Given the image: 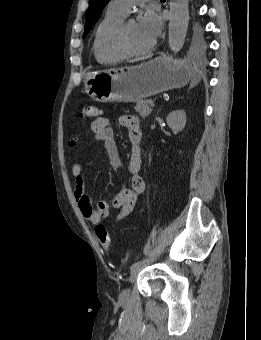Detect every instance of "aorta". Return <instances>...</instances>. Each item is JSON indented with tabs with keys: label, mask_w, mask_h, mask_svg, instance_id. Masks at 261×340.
Segmentation results:
<instances>
[{
	"label": "aorta",
	"mask_w": 261,
	"mask_h": 340,
	"mask_svg": "<svg viewBox=\"0 0 261 340\" xmlns=\"http://www.w3.org/2000/svg\"><path fill=\"white\" fill-rule=\"evenodd\" d=\"M189 22L188 0L170 2V22L168 43L170 49L177 53L184 45Z\"/></svg>",
	"instance_id": "762f6f07"
}]
</instances>
